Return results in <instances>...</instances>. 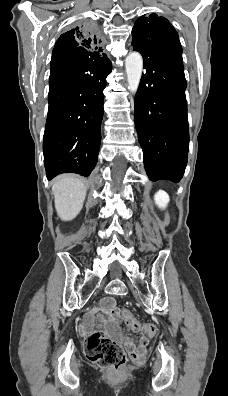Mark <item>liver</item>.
I'll use <instances>...</instances> for the list:
<instances>
[{
  "mask_svg": "<svg viewBox=\"0 0 228 396\" xmlns=\"http://www.w3.org/2000/svg\"><path fill=\"white\" fill-rule=\"evenodd\" d=\"M55 208L63 221L73 220L83 208L86 196L85 184L68 175L60 176L53 184Z\"/></svg>",
  "mask_w": 228,
  "mask_h": 396,
  "instance_id": "obj_1",
  "label": "liver"
}]
</instances>
